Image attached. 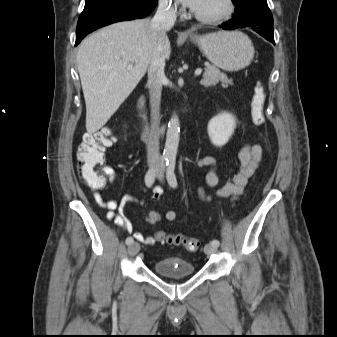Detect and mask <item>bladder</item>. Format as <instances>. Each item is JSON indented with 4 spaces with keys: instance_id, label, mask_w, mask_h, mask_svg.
Segmentation results:
<instances>
[{
    "instance_id": "obj_1",
    "label": "bladder",
    "mask_w": 337,
    "mask_h": 337,
    "mask_svg": "<svg viewBox=\"0 0 337 337\" xmlns=\"http://www.w3.org/2000/svg\"><path fill=\"white\" fill-rule=\"evenodd\" d=\"M154 271L163 277H185L196 272L195 266L188 260L178 256H167L154 263Z\"/></svg>"
}]
</instances>
